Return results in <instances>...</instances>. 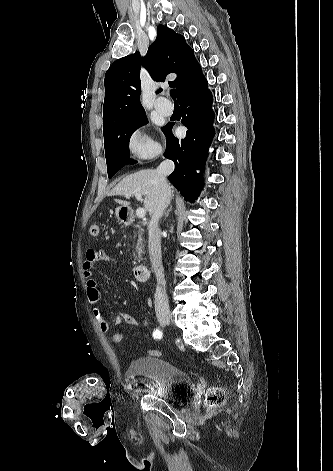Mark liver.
I'll return each mask as SVG.
<instances>
[{"instance_id":"1","label":"liver","mask_w":333,"mask_h":471,"mask_svg":"<svg viewBox=\"0 0 333 471\" xmlns=\"http://www.w3.org/2000/svg\"><path fill=\"white\" fill-rule=\"evenodd\" d=\"M159 180L156 170L145 169L130 174L123 178L109 193L110 196L140 193L145 196L144 206L147 212L152 215L155 204L159 197ZM119 204L128 206L127 201L116 200Z\"/></svg>"}]
</instances>
